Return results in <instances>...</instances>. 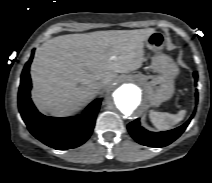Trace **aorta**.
I'll return each instance as SVG.
<instances>
[{
    "label": "aorta",
    "mask_w": 212,
    "mask_h": 183,
    "mask_svg": "<svg viewBox=\"0 0 212 183\" xmlns=\"http://www.w3.org/2000/svg\"><path fill=\"white\" fill-rule=\"evenodd\" d=\"M108 99L118 111L129 116L140 104L141 91L136 85L126 83L116 88Z\"/></svg>",
    "instance_id": "obj_1"
}]
</instances>
